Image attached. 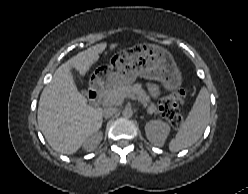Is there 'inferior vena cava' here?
<instances>
[{"label": "inferior vena cava", "mask_w": 248, "mask_h": 194, "mask_svg": "<svg viewBox=\"0 0 248 194\" xmlns=\"http://www.w3.org/2000/svg\"><path fill=\"white\" fill-rule=\"evenodd\" d=\"M116 112H117V108H115V107H106L103 110V116L105 118H109V117L113 116Z\"/></svg>", "instance_id": "inferior-vena-cava-1"}]
</instances>
